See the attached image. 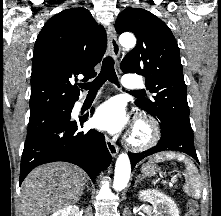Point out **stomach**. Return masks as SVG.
Here are the masks:
<instances>
[{"instance_id": "1", "label": "stomach", "mask_w": 221, "mask_h": 216, "mask_svg": "<svg viewBox=\"0 0 221 216\" xmlns=\"http://www.w3.org/2000/svg\"><path fill=\"white\" fill-rule=\"evenodd\" d=\"M142 174L146 177H153L156 175L158 168L154 164H146L142 167Z\"/></svg>"}]
</instances>
